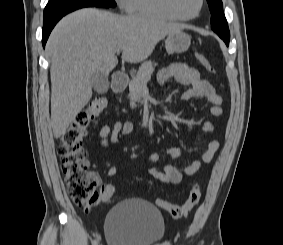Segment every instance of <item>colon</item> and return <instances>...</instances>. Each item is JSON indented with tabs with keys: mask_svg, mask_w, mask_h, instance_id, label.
Returning a JSON list of instances; mask_svg holds the SVG:
<instances>
[{
	"mask_svg": "<svg viewBox=\"0 0 283 245\" xmlns=\"http://www.w3.org/2000/svg\"><path fill=\"white\" fill-rule=\"evenodd\" d=\"M198 62L209 72L214 68L209 60L201 53H196ZM105 97H96L81 110L61 136L57 152L61 162V169L65 176L67 191L72 201L85 210L92 209L98 201L109 204L113 200L115 187L111 184L103 185L98 190V183L88 171L87 153L82 143L88 129L96 122L101 113L107 108ZM202 192L198 185L191 188L186 201L173 204L158 198L156 204L174 219L187 217L199 204Z\"/></svg>",
	"mask_w": 283,
	"mask_h": 245,
	"instance_id": "colon-1",
	"label": "colon"
}]
</instances>
